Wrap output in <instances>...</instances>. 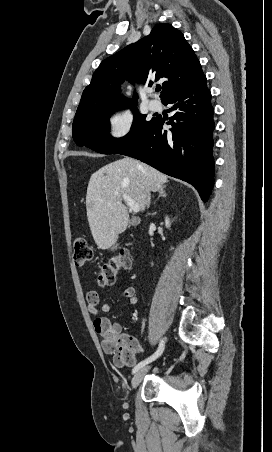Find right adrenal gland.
<instances>
[{"mask_svg":"<svg viewBox=\"0 0 272 452\" xmlns=\"http://www.w3.org/2000/svg\"><path fill=\"white\" fill-rule=\"evenodd\" d=\"M164 188H165V186H162L159 190H158V197H157V199H156V201L159 199V197H166V193H165V191H164ZM156 201L154 202V203H156Z\"/></svg>","mask_w":272,"mask_h":452,"instance_id":"obj_1","label":"right adrenal gland"}]
</instances>
